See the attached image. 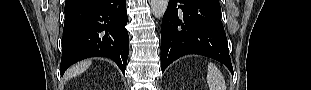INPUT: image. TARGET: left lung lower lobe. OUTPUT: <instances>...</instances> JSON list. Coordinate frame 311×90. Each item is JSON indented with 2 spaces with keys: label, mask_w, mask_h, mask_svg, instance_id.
<instances>
[{
  "label": "left lung lower lobe",
  "mask_w": 311,
  "mask_h": 90,
  "mask_svg": "<svg viewBox=\"0 0 311 90\" xmlns=\"http://www.w3.org/2000/svg\"><path fill=\"white\" fill-rule=\"evenodd\" d=\"M215 0H169L161 27L162 72L187 54L223 63L233 74L228 44Z\"/></svg>",
  "instance_id": "obj_1"
}]
</instances>
